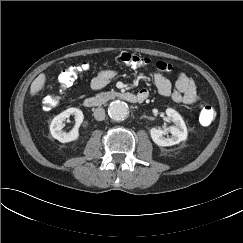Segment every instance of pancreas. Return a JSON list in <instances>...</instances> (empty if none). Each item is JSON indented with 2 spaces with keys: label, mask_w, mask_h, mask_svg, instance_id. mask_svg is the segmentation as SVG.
Returning a JSON list of instances; mask_svg holds the SVG:
<instances>
[{
  "label": "pancreas",
  "mask_w": 243,
  "mask_h": 243,
  "mask_svg": "<svg viewBox=\"0 0 243 243\" xmlns=\"http://www.w3.org/2000/svg\"><path fill=\"white\" fill-rule=\"evenodd\" d=\"M111 94H114V92L113 91H111V92H101V93L96 94L95 99H97V100H105Z\"/></svg>",
  "instance_id": "obj_1"
}]
</instances>
